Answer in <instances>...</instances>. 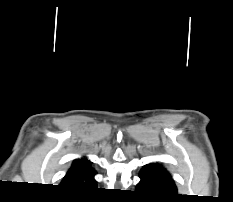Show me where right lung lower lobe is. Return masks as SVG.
I'll list each match as a JSON object with an SVG mask.
<instances>
[{
	"label": "right lung lower lobe",
	"instance_id": "obj_1",
	"mask_svg": "<svg viewBox=\"0 0 233 202\" xmlns=\"http://www.w3.org/2000/svg\"><path fill=\"white\" fill-rule=\"evenodd\" d=\"M95 189H96V187L93 188V189H91V190H89V191H82L81 193H84V194H91Z\"/></svg>",
	"mask_w": 233,
	"mask_h": 202
}]
</instances>
